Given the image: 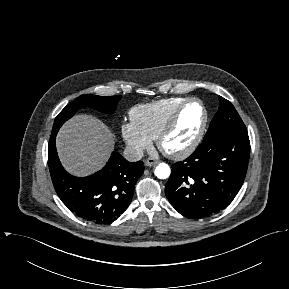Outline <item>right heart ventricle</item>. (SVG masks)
Masks as SVG:
<instances>
[{
    "label": "right heart ventricle",
    "mask_w": 289,
    "mask_h": 289,
    "mask_svg": "<svg viewBox=\"0 0 289 289\" xmlns=\"http://www.w3.org/2000/svg\"><path fill=\"white\" fill-rule=\"evenodd\" d=\"M185 97H170L134 107L130 118L151 139H157Z\"/></svg>",
    "instance_id": "obj_1"
}]
</instances>
